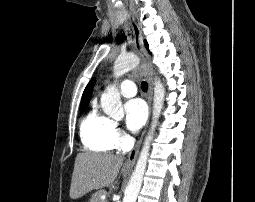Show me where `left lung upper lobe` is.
Segmentation results:
<instances>
[{
    "mask_svg": "<svg viewBox=\"0 0 255 202\" xmlns=\"http://www.w3.org/2000/svg\"><path fill=\"white\" fill-rule=\"evenodd\" d=\"M145 45H146V47L148 48V44H147V42L145 41Z\"/></svg>",
    "mask_w": 255,
    "mask_h": 202,
    "instance_id": "obj_1",
    "label": "left lung upper lobe"
}]
</instances>
